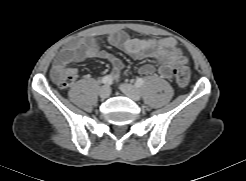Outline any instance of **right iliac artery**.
Masks as SVG:
<instances>
[{
  "label": "right iliac artery",
  "instance_id": "1",
  "mask_svg": "<svg viewBox=\"0 0 246 181\" xmlns=\"http://www.w3.org/2000/svg\"><path fill=\"white\" fill-rule=\"evenodd\" d=\"M101 83L103 84H111L112 83V77L110 75H106L101 79Z\"/></svg>",
  "mask_w": 246,
  "mask_h": 181
}]
</instances>
